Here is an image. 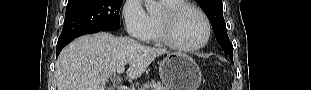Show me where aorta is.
Here are the masks:
<instances>
[{
    "label": "aorta",
    "mask_w": 311,
    "mask_h": 90,
    "mask_svg": "<svg viewBox=\"0 0 311 90\" xmlns=\"http://www.w3.org/2000/svg\"><path fill=\"white\" fill-rule=\"evenodd\" d=\"M146 9L150 14H154L160 10V5L156 0H145Z\"/></svg>",
    "instance_id": "obj_1"
}]
</instances>
